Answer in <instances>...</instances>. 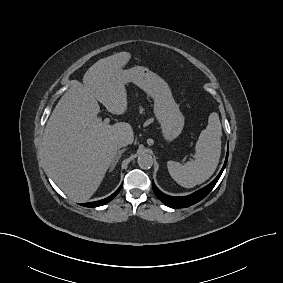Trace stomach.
Instances as JSON below:
<instances>
[{"label":"stomach","mask_w":283,"mask_h":283,"mask_svg":"<svg viewBox=\"0 0 283 283\" xmlns=\"http://www.w3.org/2000/svg\"><path fill=\"white\" fill-rule=\"evenodd\" d=\"M125 83L133 82L154 101V114L167 142L177 138L184 127V116L172 97L167 82L148 68L136 66L120 70Z\"/></svg>","instance_id":"1"}]
</instances>
